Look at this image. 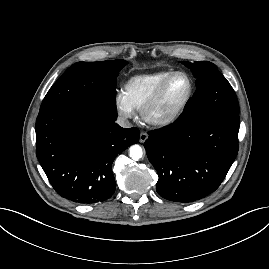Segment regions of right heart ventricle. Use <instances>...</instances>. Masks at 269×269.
<instances>
[{
    "instance_id": "obj_1",
    "label": "right heart ventricle",
    "mask_w": 269,
    "mask_h": 269,
    "mask_svg": "<svg viewBox=\"0 0 269 269\" xmlns=\"http://www.w3.org/2000/svg\"><path fill=\"white\" fill-rule=\"evenodd\" d=\"M171 73L172 71H159L130 78L124 86L123 93L134 110H141Z\"/></svg>"
}]
</instances>
